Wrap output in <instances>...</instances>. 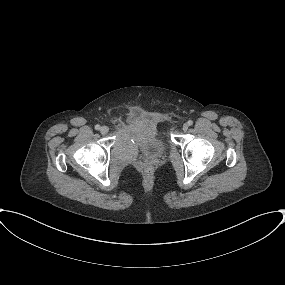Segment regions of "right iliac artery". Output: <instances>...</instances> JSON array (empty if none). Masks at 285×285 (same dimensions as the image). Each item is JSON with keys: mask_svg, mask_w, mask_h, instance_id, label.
<instances>
[{"mask_svg": "<svg viewBox=\"0 0 285 285\" xmlns=\"http://www.w3.org/2000/svg\"><path fill=\"white\" fill-rule=\"evenodd\" d=\"M95 129H96V130H99V129H100V125H98V124L95 125Z\"/></svg>", "mask_w": 285, "mask_h": 285, "instance_id": "82829eb1", "label": "right iliac artery"}]
</instances>
